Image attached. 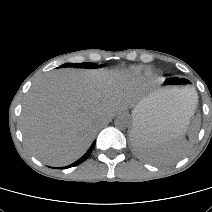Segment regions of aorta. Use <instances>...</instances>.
<instances>
[{"label":"aorta","mask_w":212,"mask_h":212,"mask_svg":"<svg viewBox=\"0 0 212 212\" xmlns=\"http://www.w3.org/2000/svg\"><path fill=\"white\" fill-rule=\"evenodd\" d=\"M114 125L118 129H125L128 126V120L123 116H118L114 121Z\"/></svg>","instance_id":"obj_1"}]
</instances>
